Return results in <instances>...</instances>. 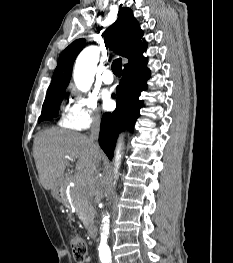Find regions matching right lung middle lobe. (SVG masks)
<instances>
[{"mask_svg":"<svg viewBox=\"0 0 233 263\" xmlns=\"http://www.w3.org/2000/svg\"><path fill=\"white\" fill-rule=\"evenodd\" d=\"M65 89L66 88L58 89L46 95L39 122L52 119L58 115L59 107L65 94Z\"/></svg>","mask_w":233,"mask_h":263,"instance_id":"obj_1","label":"right lung middle lobe"}]
</instances>
